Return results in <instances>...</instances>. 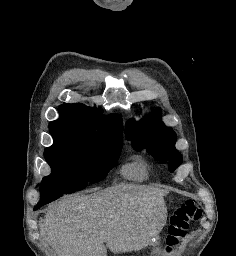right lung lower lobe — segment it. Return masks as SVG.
I'll use <instances>...</instances> for the list:
<instances>
[{
	"label": "right lung lower lobe",
	"instance_id": "obj_1",
	"mask_svg": "<svg viewBox=\"0 0 236 256\" xmlns=\"http://www.w3.org/2000/svg\"><path fill=\"white\" fill-rule=\"evenodd\" d=\"M43 203H47V202H39L36 207L34 208V210H37L38 208H40V206L43 204Z\"/></svg>",
	"mask_w": 236,
	"mask_h": 256
}]
</instances>
